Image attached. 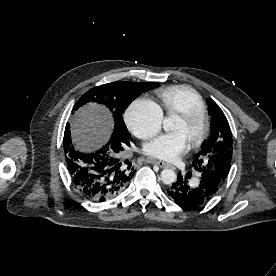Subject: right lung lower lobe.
I'll list each match as a JSON object with an SVG mask.
<instances>
[{"label": "right lung lower lobe", "mask_w": 276, "mask_h": 276, "mask_svg": "<svg viewBox=\"0 0 276 276\" xmlns=\"http://www.w3.org/2000/svg\"><path fill=\"white\" fill-rule=\"evenodd\" d=\"M64 151L74 187L86 199L104 202L116 197L129 184L134 168L121 166L114 156L115 145L107 144L92 153L77 151L71 144L70 125L64 134ZM131 168V169H130Z\"/></svg>", "instance_id": "right-lung-lower-lobe-1"}]
</instances>
